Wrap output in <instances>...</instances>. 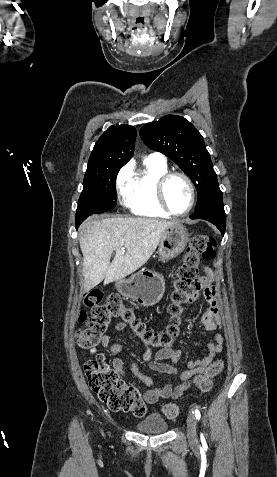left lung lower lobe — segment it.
Returning a JSON list of instances; mask_svg holds the SVG:
<instances>
[{"mask_svg": "<svg viewBox=\"0 0 277 477\" xmlns=\"http://www.w3.org/2000/svg\"><path fill=\"white\" fill-rule=\"evenodd\" d=\"M190 218L207 220L216 225V227L221 231L222 235H224L226 228V214L224 211L222 195L215 198L203 210L194 213L192 216H190Z\"/></svg>", "mask_w": 277, "mask_h": 477, "instance_id": "1", "label": "left lung lower lobe"}]
</instances>
